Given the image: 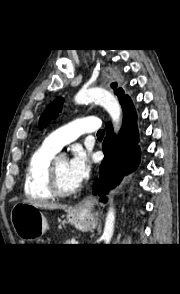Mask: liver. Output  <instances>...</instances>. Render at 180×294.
Returning a JSON list of instances; mask_svg holds the SVG:
<instances>
[{
  "label": "liver",
  "mask_w": 180,
  "mask_h": 294,
  "mask_svg": "<svg viewBox=\"0 0 180 294\" xmlns=\"http://www.w3.org/2000/svg\"><path fill=\"white\" fill-rule=\"evenodd\" d=\"M25 203L32 204L36 208H43L48 210L54 209H66L67 205H61L58 203L46 202V201H33V200H25Z\"/></svg>",
  "instance_id": "1"
}]
</instances>
